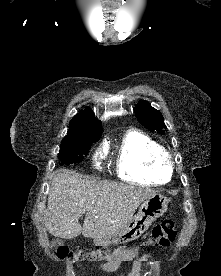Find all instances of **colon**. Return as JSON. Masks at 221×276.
<instances>
[{"mask_svg": "<svg viewBox=\"0 0 221 276\" xmlns=\"http://www.w3.org/2000/svg\"><path fill=\"white\" fill-rule=\"evenodd\" d=\"M177 231L174 221L164 220L157 224L150 236L142 243V246L147 248L165 247L169 246L176 239ZM135 247L139 246L138 242L134 243ZM130 244H123L121 246V251H128L130 249ZM103 249L96 251L85 252L77 251L74 252L65 246H60L55 249L56 256L61 260H72L80 262H101L108 261L112 255L110 253V248L112 251H116L117 247L110 245H103Z\"/></svg>", "mask_w": 221, "mask_h": 276, "instance_id": "1", "label": "colon"}]
</instances>
